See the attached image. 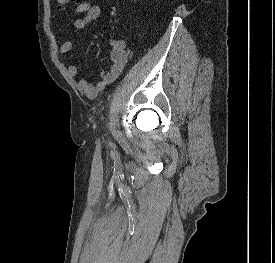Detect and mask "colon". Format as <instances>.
I'll return each instance as SVG.
<instances>
[{
    "instance_id": "5ec220e1",
    "label": "colon",
    "mask_w": 275,
    "mask_h": 263,
    "mask_svg": "<svg viewBox=\"0 0 275 263\" xmlns=\"http://www.w3.org/2000/svg\"><path fill=\"white\" fill-rule=\"evenodd\" d=\"M72 1L74 0H57L58 8H63L66 4Z\"/></svg>"
}]
</instances>
